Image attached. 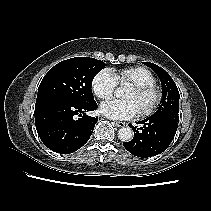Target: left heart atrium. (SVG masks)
I'll return each mask as SVG.
<instances>
[{"mask_svg":"<svg viewBox=\"0 0 211 211\" xmlns=\"http://www.w3.org/2000/svg\"><path fill=\"white\" fill-rule=\"evenodd\" d=\"M100 111L103 115L117 120L133 118L140 111L137 104L131 99H114L102 103Z\"/></svg>","mask_w":211,"mask_h":211,"instance_id":"left-heart-atrium-1","label":"left heart atrium"}]
</instances>
